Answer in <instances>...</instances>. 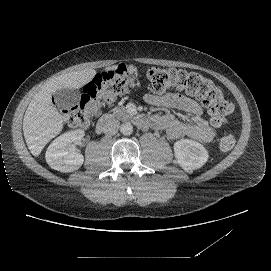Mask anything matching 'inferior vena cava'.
Here are the masks:
<instances>
[{"label":"inferior vena cava","instance_id":"obj_1","mask_svg":"<svg viewBox=\"0 0 271 271\" xmlns=\"http://www.w3.org/2000/svg\"><path fill=\"white\" fill-rule=\"evenodd\" d=\"M119 127V121L111 116L107 117L102 123V130L106 135L116 134Z\"/></svg>","mask_w":271,"mask_h":271}]
</instances>
